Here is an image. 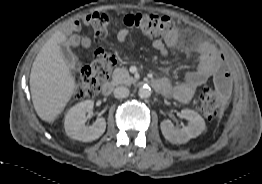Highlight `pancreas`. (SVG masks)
Returning <instances> with one entry per match:
<instances>
[{
  "instance_id": "1",
  "label": "pancreas",
  "mask_w": 262,
  "mask_h": 184,
  "mask_svg": "<svg viewBox=\"0 0 262 184\" xmlns=\"http://www.w3.org/2000/svg\"><path fill=\"white\" fill-rule=\"evenodd\" d=\"M136 80L129 75V72L126 68H116L113 71L112 83L114 85L124 84L130 85L134 83Z\"/></svg>"
}]
</instances>
